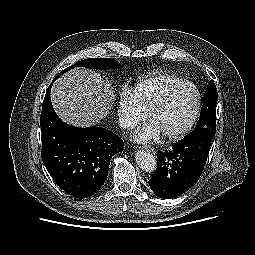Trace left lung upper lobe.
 Returning a JSON list of instances; mask_svg holds the SVG:
<instances>
[{"label": "left lung upper lobe", "instance_id": "1", "mask_svg": "<svg viewBox=\"0 0 255 255\" xmlns=\"http://www.w3.org/2000/svg\"><path fill=\"white\" fill-rule=\"evenodd\" d=\"M218 100L217 89L215 83L210 80L208 83L203 105L200 113V119L196 125L194 131H198L203 128H215L216 129V104Z\"/></svg>", "mask_w": 255, "mask_h": 255}]
</instances>
